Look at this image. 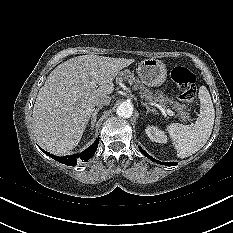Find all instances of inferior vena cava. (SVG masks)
Here are the masks:
<instances>
[{
  "instance_id": "1",
  "label": "inferior vena cava",
  "mask_w": 233,
  "mask_h": 233,
  "mask_svg": "<svg viewBox=\"0 0 233 233\" xmlns=\"http://www.w3.org/2000/svg\"><path fill=\"white\" fill-rule=\"evenodd\" d=\"M111 101V98L109 96H104L103 98L99 99L96 103V106H104V105H109Z\"/></svg>"
}]
</instances>
